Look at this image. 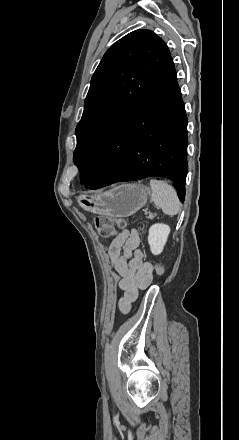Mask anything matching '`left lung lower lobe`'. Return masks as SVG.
<instances>
[{"label": "left lung lower lobe", "instance_id": "0a47b994", "mask_svg": "<svg viewBox=\"0 0 239 440\" xmlns=\"http://www.w3.org/2000/svg\"><path fill=\"white\" fill-rule=\"evenodd\" d=\"M187 116L172 58L131 110L112 128L80 181L89 189L150 176L176 183L185 199Z\"/></svg>", "mask_w": 239, "mask_h": 440}]
</instances>
